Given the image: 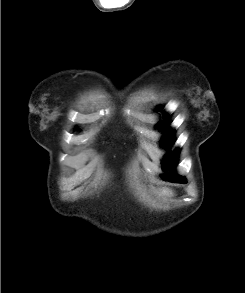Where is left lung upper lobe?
I'll return each instance as SVG.
<instances>
[{"label": "left lung upper lobe", "instance_id": "5c2ea615", "mask_svg": "<svg viewBox=\"0 0 245 293\" xmlns=\"http://www.w3.org/2000/svg\"><path fill=\"white\" fill-rule=\"evenodd\" d=\"M168 123H169V120L166 119L165 121L159 123L157 127H162V130H166L169 126ZM173 143H174L173 132L168 133L161 141V145L166 148L171 147ZM178 154H179V151H175V152L169 153L167 156L164 157V160L162 161V169L165 171L170 170V172L162 175V179L167 181L177 182V183L185 179L184 177H181L178 174H176L173 170L176 166Z\"/></svg>", "mask_w": 245, "mask_h": 293}]
</instances>
